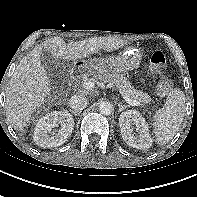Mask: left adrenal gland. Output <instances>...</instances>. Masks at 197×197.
I'll return each mask as SVG.
<instances>
[{
    "mask_svg": "<svg viewBox=\"0 0 197 197\" xmlns=\"http://www.w3.org/2000/svg\"><path fill=\"white\" fill-rule=\"evenodd\" d=\"M118 106H119V112L123 111L128 107L127 105H122V103H118Z\"/></svg>",
    "mask_w": 197,
    "mask_h": 197,
    "instance_id": "a2214340",
    "label": "left adrenal gland"
}]
</instances>
